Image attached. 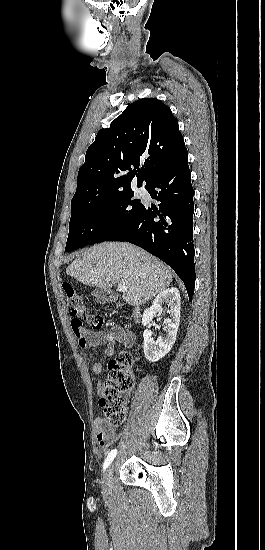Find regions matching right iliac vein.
<instances>
[{"instance_id":"right-iliac-vein-1","label":"right iliac vein","mask_w":265,"mask_h":550,"mask_svg":"<svg viewBox=\"0 0 265 550\" xmlns=\"http://www.w3.org/2000/svg\"><path fill=\"white\" fill-rule=\"evenodd\" d=\"M112 473H113V464L110 465V466L108 467V469L106 470V472H105V475H104V481H105V483H108V482L110 481V479H111V477H112Z\"/></svg>"}]
</instances>
